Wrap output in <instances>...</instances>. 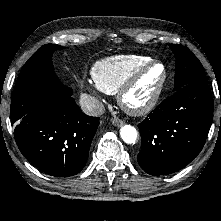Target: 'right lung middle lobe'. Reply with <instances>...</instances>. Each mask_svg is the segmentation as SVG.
I'll list each match as a JSON object with an SVG mask.
<instances>
[{
    "mask_svg": "<svg viewBox=\"0 0 221 221\" xmlns=\"http://www.w3.org/2000/svg\"><path fill=\"white\" fill-rule=\"evenodd\" d=\"M62 48L56 44H46L39 48L22 67L12 97L40 84L59 83L52 65V54Z\"/></svg>",
    "mask_w": 221,
    "mask_h": 221,
    "instance_id": "right-lung-middle-lobe-1",
    "label": "right lung middle lobe"
}]
</instances>
